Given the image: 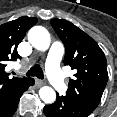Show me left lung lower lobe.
Returning a JSON list of instances; mask_svg holds the SVG:
<instances>
[{
  "label": "left lung lower lobe",
  "instance_id": "obj_1",
  "mask_svg": "<svg viewBox=\"0 0 117 117\" xmlns=\"http://www.w3.org/2000/svg\"><path fill=\"white\" fill-rule=\"evenodd\" d=\"M91 113L67 95L59 96L58 93L55 103L44 107L46 117H88Z\"/></svg>",
  "mask_w": 117,
  "mask_h": 117
}]
</instances>
